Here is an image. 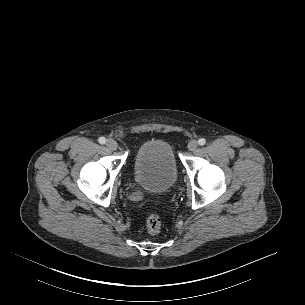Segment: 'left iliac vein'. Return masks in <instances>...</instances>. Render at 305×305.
<instances>
[{"label":"left iliac vein","instance_id":"1","mask_svg":"<svg viewBox=\"0 0 305 305\" xmlns=\"http://www.w3.org/2000/svg\"><path fill=\"white\" fill-rule=\"evenodd\" d=\"M197 146H198V142L196 140H191L189 141L187 147L190 151H194L197 148Z\"/></svg>","mask_w":305,"mask_h":305}]
</instances>
